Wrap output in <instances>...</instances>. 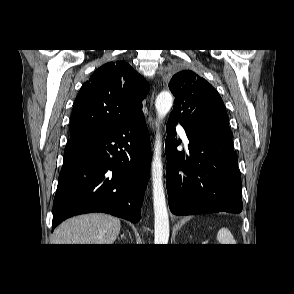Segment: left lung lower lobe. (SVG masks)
Returning <instances> with one entry per match:
<instances>
[{
    "instance_id": "left-lung-lower-lobe-1",
    "label": "left lung lower lobe",
    "mask_w": 294,
    "mask_h": 294,
    "mask_svg": "<svg viewBox=\"0 0 294 294\" xmlns=\"http://www.w3.org/2000/svg\"><path fill=\"white\" fill-rule=\"evenodd\" d=\"M176 121L169 119L165 150L166 187L173 214L240 213L241 176L231 136L186 131L189 153L177 151Z\"/></svg>"
}]
</instances>
